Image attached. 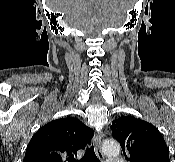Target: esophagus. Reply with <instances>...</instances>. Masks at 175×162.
Listing matches in <instances>:
<instances>
[{"label":"esophagus","mask_w":175,"mask_h":162,"mask_svg":"<svg viewBox=\"0 0 175 162\" xmlns=\"http://www.w3.org/2000/svg\"><path fill=\"white\" fill-rule=\"evenodd\" d=\"M102 139H103L102 132H98L93 139L97 156H98L99 160H101V162H102V160H104V154L101 150Z\"/></svg>","instance_id":"esophagus-1"}]
</instances>
